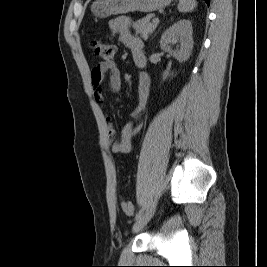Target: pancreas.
<instances>
[{
  "instance_id": "obj_1",
  "label": "pancreas",
  "mask_w": 267,
  "mask_h": 267,
  "mask_svg": "<svg viewBox=\"0 0 267 267\" xmlns=\"http://www.w3.org/2000/svg\"><path fill=\"white\" fill-rule=\"evenodd\" d=\"M152 18L151 14H148L146 17L138 20L133 24V28L136 31V34H140L144 40H147L149 35L154 32L157 27L156 23L150 22Z\"/></svg>"
}]
</instances>
